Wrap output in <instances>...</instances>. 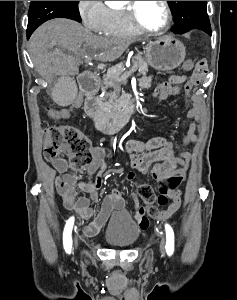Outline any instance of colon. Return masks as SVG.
<instances>
[{
	"label": "colon",
	"mask_w": 237,
	"mask_h": 300,
	"mask_svg": "<svg viewBox=\"0 0 237 300\" xmlns=\"http://www.w3.org/2000/svg\"><path fill=\"white\" fill-rule=\"evenodd\" d=\"M194 66L193 60H186L182 64L183 70H190ZM172 86L163 84L155 89V96L166 97L170 94ZM45 133L44 157L55 160L60 154L70 156V168L81 170L89 165L93 159V149L90 140L76 127L70 125L51 126L42 124ZM185 174L172 173L158 180L159 195L156 197L152 187L147 183L137 186V195L146 205L150 217H158L159 208L167 204L168 200H180L177 187L185 180Z\"/></svg>",
	"instance_id": "obj_1"
}]
</instances>
